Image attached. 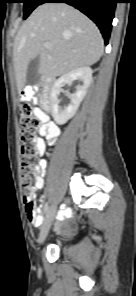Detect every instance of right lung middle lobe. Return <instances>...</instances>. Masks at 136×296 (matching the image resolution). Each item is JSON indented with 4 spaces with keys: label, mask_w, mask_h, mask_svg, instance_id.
I'll return each instance as SVG.
<instances>
[{
    "label": "right lung middle lobe",
    "mask_w": 136,
    "mask_h": 296,
    "mask_svg": "<svg viewBox=\"0 0 136 296\" xmlns=\"http://www.w3.org/2000/svg\"><path fill=\"white\" fill-rule=\"evenodd\" d=\"M43 0H20L18 2L24 3L23 12L24 16L23 19H26L29 14L40 4H42Z\"/></svg>",
    "instance_id": "obj_1"
}]
</instances>
